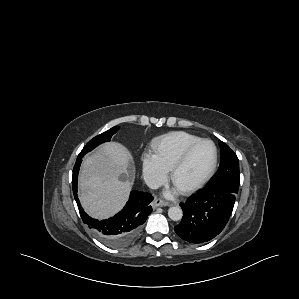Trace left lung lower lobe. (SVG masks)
Segmentation results:
<instances>
[{"label": "left lung lower lobe", "mask_w": 299, "mask_h": 299, "mask_svg": "<svg viewBox=\"0 0 299 299\" xmlns=\"http://www.w3.org/2000/svg\"><path fill=\"white\" fill-rule=\"evenodd\" d=\"M238 188L228 184L206 185L181 203L183 218L174 227L183 240L204 243L217 236L232 213Z\"/></svg>", "instance_id": "1"}]
</instances>
